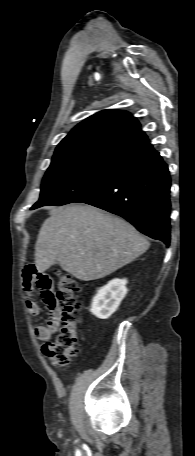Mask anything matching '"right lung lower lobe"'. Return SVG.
Returning a JSON list of instances; mask_svg holds the SVG:
<instances>
[{
	"label": "right lung lower lobe",
	"mask_w": 195,
	"mask_h": 456,
	"mask_svg": "<svg viewBox=\"0 0 195 456\" xmlns=\"http://www.w3.org/2000/svg\"><path fill=\"white\" fill-rule=\"evenodd\" d=\"M170 186L168 166L155 152L124 167L106 184L76 202L119 215L140 232L169 246Z\"/></svg>",
	"instance_id": "1"
}]
</instances>
